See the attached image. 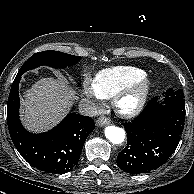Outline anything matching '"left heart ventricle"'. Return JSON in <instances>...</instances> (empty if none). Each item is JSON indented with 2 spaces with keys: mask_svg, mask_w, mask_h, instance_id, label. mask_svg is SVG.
Wrapping results in <instances>:
<instances>
[{
  "mask_svg": "<svg viewBox=\"0 0 194 194\" xmlns=\"http://www.w3.org/2000/svg\"><path fill=\"white\" fill-rule=\"evenodd\" d=\"M137 100V96L136 95H133L129 98H127L124 102H123V106L125 108H130L131 106L134 105V103L136 102Z\"/></svg>",
  "mask_w": 194,
  "mask_h": 194,
  "instance_id": "1",
  "label": "left heart ventricle"
}]
</instances>
